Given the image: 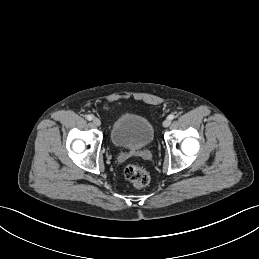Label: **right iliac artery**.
<instances>
[{"instance_id": "1", "label": "right iliac artery", "mask_w": 259, "mask_h": 259, "mask_svg": "<svg viewBox=\"0 0 259 259\" xmlns=\"http://www.w3.org/2000/svg\"><path fill=\"white\" fill-rule=\"evenodd\" d=\"M87 120L91 121L93 119V116L92 115H87Z\"/></svg>"}]
</instances>
